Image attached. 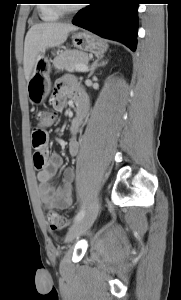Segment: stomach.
Returning <instances> with one entry per match:
<instances>
[{"label": "stomach", "mask_w": 181, "mask_h": 300, "mask_svg": "<svg viewBox=\"0 0 181 300\" xmlns=\"http://www.w3.org/2000/svg\"><path fill=\"white\" fill-rule=\"evenodd\" d=\"M72 44L80 52H91L96 55L104 54L108 48V45L103 40L88 32L74 33L72 35ZM49 73L50 62L42 54L28 82V96L33 104L44 102L49 95L51 89Z\"/></svg>", "instance_id": "stomach-1"}]
</instances>
